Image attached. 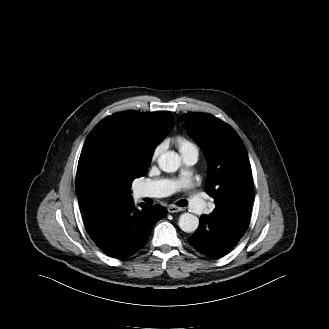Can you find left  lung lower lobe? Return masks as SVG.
I'll return each mask as SVG.
<instances>
[{
    "instance_id": "obj_1",
    "label": "left lung lower lobe",
    "mask_w": 329,
    "mask_h": 329,
    "mask_svg": "<svg viewBox=\"0 0 329 329\" xmlns=\"http://www.w3.org/2000/svg\"><path fill=\"white\" fill-rule=\"evenodd\" d=\"M251 209V196L235 201L227 209H214L209 216L200 217L199 227L188 242L210 258L226 255L246 232Z\"/></svg>"
}]
</instances>
